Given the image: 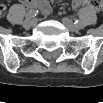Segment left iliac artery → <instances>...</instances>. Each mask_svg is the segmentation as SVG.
Wrapping results in <instances>:
<instances>
[{"label":"left iliac artery","mask_w":103,"mask_h":103,"mask_svg":"<svg viewBox=\"0 0 103 103\" xmlns=\"http://www.w3.org/2000/svg\"><path fill=\"white\" fill-rule=\"evenodd\" d=\"M75 24H76L78 27L84 26V24H83L81 21H79V20H76V21H75Z\"/></svg>","instance_id":"left-iliac-artery-1"}]
</instances>
